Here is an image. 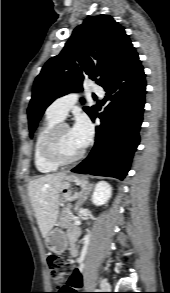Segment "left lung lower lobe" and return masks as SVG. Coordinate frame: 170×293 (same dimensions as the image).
<instances>
[{
  "instance_id": "left-lung-lower-lobe-1",
  "label": "left lung lower lobe",
  "mask_w": 170,
  "mask_h": 293,
  "mask_svg": "<svg viewBox=\"0 0 170 293\" xmlns=\"http://www.w3.org/2000/svg\"><path fill=\"white\" fill-rule=\"evenodd\" d=\"M102 87L106 91L105 101L111 102L104 112L96 111L91 118L101 119V125L96 126L94 148L72 172L122 180L139 145L146 93L145 74L133 46Z\"/></svg>"
}]
</instances>
